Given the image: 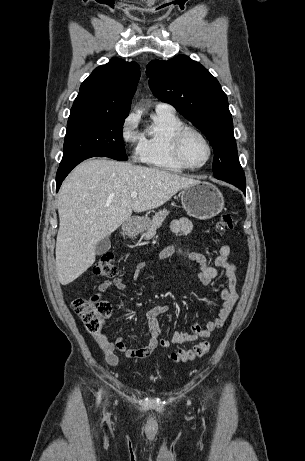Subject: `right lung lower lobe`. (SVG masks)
<instances>
[{"instance_id":"right-lung-lower-lobe-1","label":"right lung lower lobe","mask_w":305,"mask_h":461,"mask_svg":"<svg viewBox=\"0 0 305 461\" xmlns=\"http://www.w3.org/2000/svg\"><path fill=\"white\" fill-rule=\"evenodd\" d=\"M83 159L81 160H78V161H75L73 163H70L68 165H60L59 166V169L57 171V174H56V191L59 190L60 188V185L62 183V181L65 179V177L69 174V172L76 166L78 165L80 162H82Z\"/></svg>"}]
</instances>
